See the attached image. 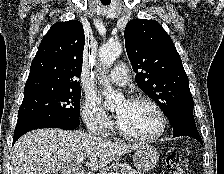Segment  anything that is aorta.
Returning a JSON list of instances; mask_svg holds the SVG:
<instances>
[{
  "mask_svg": "<svg viewBox=\"0 0 224 174\" xmlns=\"http://www.w3.org/2000/svg\"><path fill=\"white\" fill-rule=\"evenodd\" d=\"M122 46L119 42L113 41L103 44L99 49V58L103 66L111 65L121 54ZM104 105L108 109L115 108L122 103L124 96L121 93H116L106 81V89L104 91Z\"/></svg>",
  "mask_w": 224,
  "mask_h": 174,
  "instance_id": "1",
  "label": "aorta"
}]
</instances>
